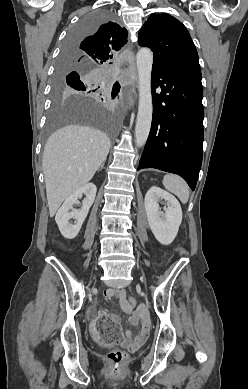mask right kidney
Segmentation results:
<instances>
[{"mask_svg":"<svg viewBox=\"0 0 248 389\" xmlns=\"http://www.w3.org/2000/svg\"><path fill=\"white\" fill-rule=\"evenodd\" d=\"M96 192V186L93 183H88L73 192L58 210L55 221L61 234L66 239H74L78 235L89 209L95 200ZM83 194L86 195V198L83 200L81 210L73 208L74 204L78 203V198H81ZM71 218L75 219L74 224L69 222Z\"/></svg>","mask_w":248,"mask_h":389,"instance_id":"1","label":"right kidney"}]
</instances>
